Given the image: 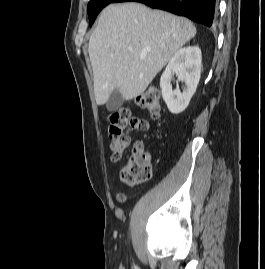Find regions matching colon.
I'll use <instances>...</instances> for the list:
<instances>
[{"label":"colon","mask_w":265,"mask_h":269,"mask_svg":"<svg viewBox=\"0 0 265 269\" xmlns=\"http://www.w3.org/2000/svg\"><path fill=\"white\" fill-rule=\"evenodd\" d=\"M138 106L149 112L153 117H158L161 110V97L154 88H149L138 98ZM108 135L112 140H117L123 147L130 143L129 134L135 130H143V119L132 115L128 107L111 112L107 117ZM123 181L128 185H136L150 180L152 165L146 149L141 143L133 147L132 155L128 163L121 171Z\"/></svg>","instance_id":"5ec220e1"}]
</instances>
